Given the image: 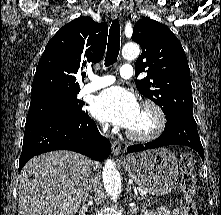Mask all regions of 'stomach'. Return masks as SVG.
Wrapping results in <instances>:
<instances>
[{
    "instance_id": "0dacf381",
    "label": "stomach",
    "mask_w": 221,
    "mask_h": 215,
    "mask_svg": "<svg viewBox=\"0 0 221 215\" xmlns=\"http://www.w3.org/2000/svg\"><path fill=\"white\" fill-rule=\"evenodd\" d=\"M122 162L129 176L149 194L165 195L176 185L177 159L166 148L129 155Z\"/></svg>"
}]
</instances>
